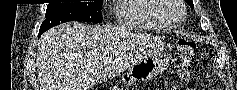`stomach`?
<instances>
[{"label":"stomach","mask_w":237,"mask_h":90,"mask_svg":"<svg viewBox=\"0 0 237 90\" xmlns=\"http://www.w3.org/2000/svg\"><path fill=\"white\" fill-rule=\"evenodd\" d=\"M168 65L169 58L165 55L142 60L124 72L121 81L127 87L135 82L149 81L162 73Z\"/></svg>","instance_id":"stomach-1"}]
</instances>
